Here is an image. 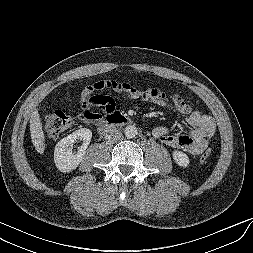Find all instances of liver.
Masks as SVG:
<instances>
[{
	"label": "liver",
	"mask_w": 253,
	"mask_h": 253,
	"mask_svg": "<svg viewBox=\"0 0 253 253\" xmlns=\"http://www.w3.org/2000/svg\"><path fill=\"white\" fill-rule=\"evenodd\" d=\"M30 133L35 150L38 153L43 154L45 150V136L42 129V122L37 109L32 112L30 118Z\"/></svg>",
	"instance_id": "obj_1"
}]
</instances>
